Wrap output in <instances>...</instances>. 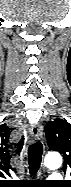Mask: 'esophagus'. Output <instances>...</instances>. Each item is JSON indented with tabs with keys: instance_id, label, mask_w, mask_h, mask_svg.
Instances as JSON below:
<instances>
[{
	"instance_id": "esophagus-1",
	"label": "esophagus",
	"mask_w": 71,
	"mask_h": 187,
	"mask_svg": "<svg viewBox=\"0 0 71 187\" xmlns=\"http://www.w3.org/2000/svg\"><path fill=\"white\" fill-rule=\"evenodd\" d=\"M30 135L34 140H40L42 138V126L40 124H32L30 126Z\"/></svg>"
}]
</instances>
